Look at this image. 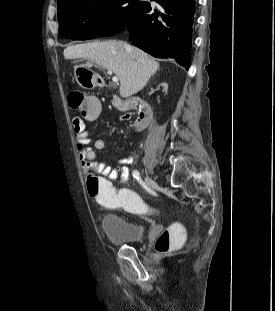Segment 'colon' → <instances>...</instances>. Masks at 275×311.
<instances>
[{"mask_svg":"<svg viewBox=\"0 0 275 311\" xmlns=\"http://www.w3.org/2000/svg\"><path fill=\"white\" fill-rule=\"evenodd\" d=\"M71 108L79 111L81 121H94L101 113V103L97 97H85L83 93L72 91L68 95ZM111 178L104 175H91L88 179V192L95 202L109 206H119L126 211L138 213L149 210L148 205L139 198L137 190H117ZM183 240L181 225L172 223L165 228L155 241V250L166 254L179 246Z\"/></svg>","mask_w":275,"mask_h":311,"instance_id":"5ec220e1","label":"colon"}]
</instances>
